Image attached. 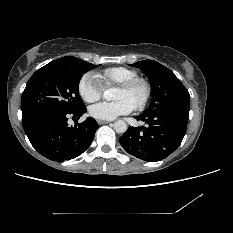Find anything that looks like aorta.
Listing matches in <instances>:
<instances>
[{
  "instance_id": "1",
  "label": "aorta",
  "mask_w": 233,
  "mask_h": 233,
  "mask_svg": "<svg viewBox=\"0 0 233 233\" xmlns=\"http://www.w3.org/2000/svg\"><path fill=\"white\" fill-rule=\"evenodd\" d=\"M104 98L107 101H111V100H115L116 99V89L115 88H111L109 90H106L104 92ZM127 124L125 121L123 120H118L114 123V130L117 133H125L127 131Z\"/></svg>"
}]
</instances>
